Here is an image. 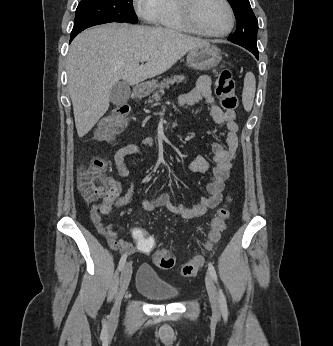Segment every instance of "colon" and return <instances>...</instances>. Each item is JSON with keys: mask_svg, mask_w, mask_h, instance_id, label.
<instances>
[{"mask_svg": "<svg viewBox=\"0 0 333 346\" xmlns=\"http://www.w3.org/2000/svg\"><path fill=\"white\" fill-rule=\"evenodd\" d=\"M216 95L221 99L223 107L227 111H234L238 105L235 81L229 69H222L216 81ZM129 107L120 105L109 112L99 123L95 138L98 141H108L119 134L127 125ZM107 162L102 158L91 160L78 174V187L83 198L89 202L98 204L109 196L111 180L106 177ZM228 209L221 208L210 224L207 247L218 242L229 220ZM131 237L135 238L138 254L151 256L152 251L158 246V241L153 240L152 235H144L143 226H130ZM154 264L161 269H171L175 265V258L166 249H160L153 254ZM204 259L196 256L181 268L182 275L190 277L195 275L202 267Z\"/></svg>", "mask_w": 333, "mask_h": 346, "instance_id": "obj_1", "label": "colon"}]
</instances>
